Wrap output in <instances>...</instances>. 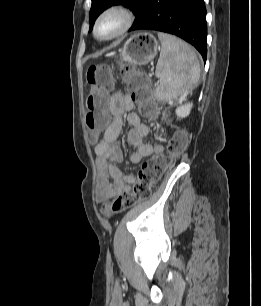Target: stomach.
<instances>
[{
  "label": "stomach",
  "mask_w": 261,
  "mask_h": 306,
  "mask_svg": "<svg viewBox=\"0 0 261 306\" xmlns=\"http://www.w3.org/2000/svg\"><path fill=\"white\" fill-rule=\"evenodd\" d=\"M158 42L147 32L131 36L119 50L120 59L134 65H145L157 55Z\"/></svg>",
  "instance_id": "obj_1"
}]
</instances>
